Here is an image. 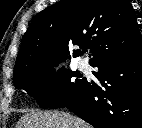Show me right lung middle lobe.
I'll use <instances>...</instances> for the list:
<instances>
[{"instance_id":"1","label":"right lung middle lobe","mask_w":142,"mask_h":128,"mask_svg":"<svg viewBox=\"0 0 142 128\" xmlns=\"http://www.w3.org/2000/svg\"><path fill=\"white\" fill-rule=\"evenodd\" d=\"M55 65L51 61H40L16 70L15 87L35 97L41 108L65 107L87 79L64 67L56 72Z\"/></svg>"}]
</instances>
